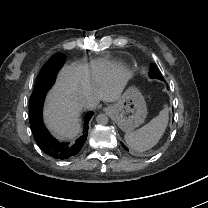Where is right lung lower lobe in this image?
Masks as SVG:
<instances>
[{"label":"right lung lower lobe","mask_w":208,"mask_h":208,"mask_svg":"<svg viewBox=\"0 0 208 208\" xmlns=\"http://www.w3.org/2000/svg\"><path fill=\"white\" fill-rule=\"evenodd\" d=\"M65 57L50 58L40 71L34 91L30 98L29 115L30 126L34 139L44 153L52 158L65 160L79 153L88 135V123L93 112H88L84 118V130L73 144L57 141L46 129L42 118L45 95L54 84L57 72L62 67Z\"/></svg>","instance_id":"right-lung-lower-lobe-1"}]
</instances>
